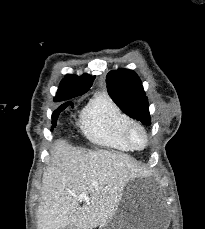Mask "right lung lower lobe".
<instances>
[{"instance_id":"1","label":"right lung lower lobe","mask_w":205,"mask_h":229,"mask_svg":"<svg viewBox=\"0 0 205 229\" xmlns=\"http://www.w3.org/2000/svg\"><path fill=\"white\" fill-rule=\"evenodd\" d=\"M69 105H73V103L67 102V103L61 105L57 110L54 111V113L52 115V124H53V126L51 127L52 130L56 126L57 118H58V115L60 114V112H62Z\"/></svg>"}]
</instances>
